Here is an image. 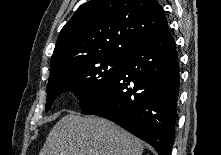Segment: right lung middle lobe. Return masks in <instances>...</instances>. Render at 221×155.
I'll list each match as a JSON object with an SVG mask.
<instances>
[{"mask_svg": "<svg viewBox=\"0 0 221 155\" xmlns=\"http://www.w3.org/2000/svg\"><path fill=\"white\" fill-rule=\"evenodd\" d=\"M126 56H108L74 62L51 74L47 85L46 111L63 92L73 90L84 108L115 78Z\"/></svg>", "mask_w": 221, "mask_h": 155, "instance_id": "right-lung-middle-lobe-1", "label": "right lung middle lobe"}]
</instances>
